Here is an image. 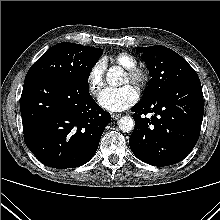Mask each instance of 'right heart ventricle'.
I'll use <instances>...</instances> for the list:
<instances>
[{"instance_id": "right-heart-ventricle-1", "label": "right heart ventricle", "mask_w": 220, "mask_h": 220, "mask_svg": "<svg viewBox=\"0 0 220 220\" xmlns=\"http://www.w3.org/2000/svg\"><path fill=\"white\" fill-rule=\"evenodd\" d=\"M113 60L115 63L119 64L120 66L124 67L125 69L132 68L137 66V60L131 54L121 52L113 56Z\"/></svg>"}]
</instances>
